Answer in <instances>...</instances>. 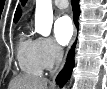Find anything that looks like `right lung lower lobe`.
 <instances>
[{
  "label": "right lung lower lobe",
  "mask_w": 107,
  "mask_h": 89,
  "mask_svg": "<svg viewBox=\"0 0 107 89\" xmlns=\"http://www.w3.org/2000/svg\"><path fill=\"white\" fill-rule=\"evenodd\" d=\"M71 3H72V9H73L74 22H75L76 26L78 27V17H79V13H80L79 0H71ZM75 44L76 43H74V45L72 46V48L68 54L65 67L59 73V75L57 76V79H56L57 84L60 85L61 87L70 78L72 69H73L74 64H75V61H74Z\"/></svg>",
  "instance_id": "1"
}]
</instances>
